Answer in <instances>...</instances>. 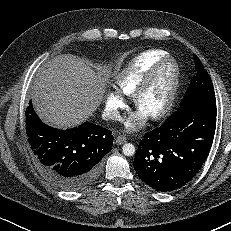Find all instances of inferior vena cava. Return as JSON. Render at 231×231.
<instances>
[{
  "label": "inferior vena cava",
  "mask_w": 231,
  "mask_h": 231,
  "mask_svg": "<svg viewBox=\"0 0 231 231\" xmlns=\"http://www.w3.org/2000/svg\"><path fill=\"white\" fill-rule=\"evenodd\" d=\"M104 120H117L119 121L121 119V116L118 111H112V112H104L102 115Z\"/></svg>",
  "instance_id": "602c4592"
}]
</instances>
